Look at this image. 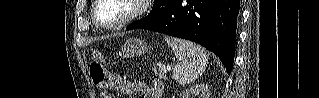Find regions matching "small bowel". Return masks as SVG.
I'll list each match as a JSON object with an SVG mask.
<instances>
[{"label": "small bowel", "instance_id": "c3829d8e", "mask_svg": "<svg viewBox=\"0 0 319 98\" xmlns=\"http://www.w3.org/2000/svg\"><path fill=\"white\" fill-rule=\"evenodd\" d=\"M107 86L126 96L138 94L139 98H159L162 91V84L159 82L147 85L141 82L125 80L118 75H111Z\"/></svg>", "mask_w": 319, "mask_h": 98}]
</instances>
